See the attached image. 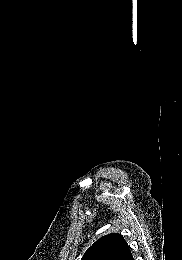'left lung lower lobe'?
Masks as SVG:
<instances>
[{"mask_svg": "<svg viewBox=\"0 0 182 260\" xmlns=\"http://www.w3.org/2000/svg\"><path fill=\"white\" fill-rule=\"evenodd\" d=\"M126 260H134L133 259V256H132V254L130 253V255L127 257V259Z\"/></svg>", "mask_w": 182, "mask_h": 260, "instance_id": "1", "label": "left lung lower lobe"}]
</instances>
